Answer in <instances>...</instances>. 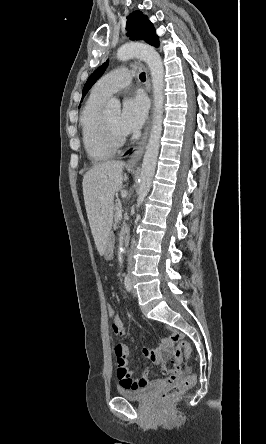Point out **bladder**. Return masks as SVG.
Returning <instances> with one entry per match:
<instances>
[{"mask_svg":"<svg viewBox=\"0 0 266 444\" xmlns=\"http://www.w3.org/2000/svg\"><path fill=\"white\" fill-rule=\"evenodd\" d=\"M153 391V386H146L143 388H139V389H125V388H121L119 389V395L122 398H125L127 400L130 401H144L146 400L151 392Z\"/></svg>","mask_w":266,"mask_h":444,"instance_id":"1","label":"bladder"}]
</instances>
